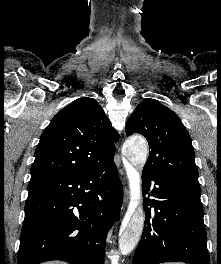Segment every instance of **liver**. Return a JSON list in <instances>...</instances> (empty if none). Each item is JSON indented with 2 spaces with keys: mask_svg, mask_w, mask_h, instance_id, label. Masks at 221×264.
Instances as JSON below:
<instances>
[{
  "mask_svg": "<svg viewBox=\"0 0 221 264\" xmlns=\"http://www.w3.org/2000/svg\"><path fill=\"white\" fill-rule=\"evenodd\" d=\"M43 264H67L61 261H51V262H47V263H43Z\"/></svg>",
  "mask_w": 221,
  "mask_h": 264,
  "instance_id": "6515ba94",
  "label": "liver"
}]
</instances>
